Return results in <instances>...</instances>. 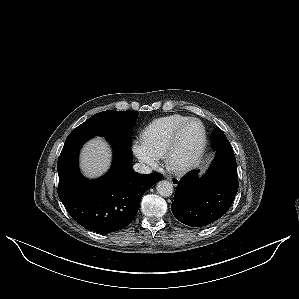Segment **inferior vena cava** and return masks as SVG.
Segmentation results:
<instances>
[{
    "label": "inferior vena cava",
    "mask_w": 299,
    "mask_h": 299,
    "mask_svg": "<svg viewBox=\"0 0 299 299\" xmlns=\"http://www.w3.org/2000/svg\"><path fill=\"white\" fill-rule=\"evenodd\" d=\"M133 169L135 172L140 173V174H149L152 172V169L144 163L134 164Z\"/></svg>",
    "instance_id": "inferior-vena-cava-1"
}]
</instances>
